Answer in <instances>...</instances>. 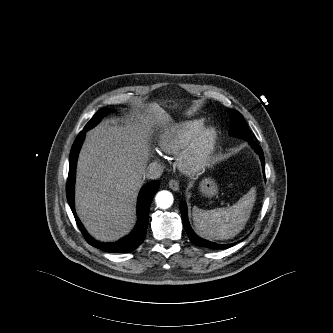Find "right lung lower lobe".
Wrapping results in <instances>:
<instances>
[{
	"instance_id": "obj_1",
	"label": "right lung lower lobe",
	"mask_w": 333,
	"mask_h": 333,
	"mask_svg": "<svg viewBox=\"0 0 333 333\" xmlns=\"http://www.w3.org/2000/svg\"><path fill=\"white\" fill-rule=\"evenodd\" d=\"M86 130H83L76 138L70 153V160H69V174L67 179V200L70 205V208L74 214L76 219L77 225L81 230L82 234L84 235L85 239L88 241L89 244L92 246L99 248L101 250L111 252V253H128L135 250L144 240L147 226H148V219H149V209L153 199L154 194L159 189V181H153L147 185H145L139 194L138 197V206H137V214H138V221L135 229L132 233L121 240L114 242V243H103L96 241L93 239L85 230L83 225L81 224L80 220L75 214L74 209V182H75V171H76V162L80 147L83 143L85 137Z\"/></svg>"
}]
</instances>
